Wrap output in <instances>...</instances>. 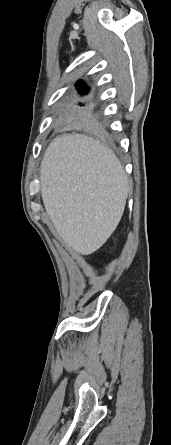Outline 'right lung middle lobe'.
<instances>
[{
  "instance_id": "1",
  "label": "right lung middle lobe",
  "mask_w": 171,
  "mask_h": 445,
  "mask_svg": "<svg viewBox=\"0 0 171 445\" xmlns=\"http://www.w3.org/2000/svg\"><path fill=\"white\" fill-rule=\"evenodd\" d=\"M83 107L81 103L76 107H71L63 113L62 118L68 122L80 124L87 129L98 131L95 113L93 110Z\"/></svg>"
}]
</instances>
